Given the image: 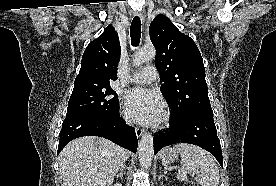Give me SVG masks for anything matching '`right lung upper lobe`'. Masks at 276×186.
I'll return each instance as SVG.
<instances>
[{"instance_id": "obj_1", "label": "right lung upper lobe", "mask_w": 276, "mask_h": 186, "mask_svg": "<svg viewBox=\"0 0 276 186\" xmlns=\"http://www.w3.org/2000/svg\"><path fill=\"white\" fill-rule=\"evenodd\" d=\"M120 53L117 32L112 25H109L84 51L74 88L110 85L112 80L117 79Z\"/></svg>"}]
</instances>
